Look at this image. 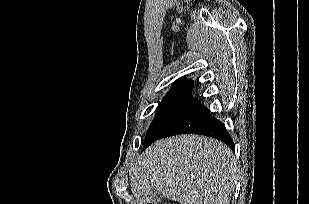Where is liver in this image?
Instances as JSON below:
<instances>
[{"mask_svg": "<svg viewBox=\"0 0 309 204\" xmlns=\"http://www.w3.org/2000/svg\"><path fill=\"white\" fill-rule=\"evenodd\" d=\"M233 152L223 143L199 135H181L149 146L133 168L131 191L151 201L155 187L180 204H229L237 184Z\"/></svg>", "mask_w": 309, "mask_h": 204, "instance_id": "liver-1", "label": "liver"}]
</instances>
